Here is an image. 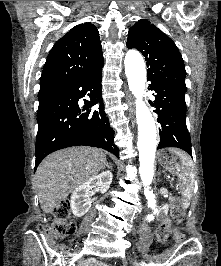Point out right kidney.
<instances>
[{"label": "right kidney", "mask_w": 221, "mask_h": 266, "mask_svg": "<svg viewBox=\"0 0 221 266\" xmlns=\"http://www.w3.org/2000/svg\"><path fill=\"white\" fill-rule=\"evenodd\" d=\"M112 179V173L110 171H104L76 187L70 200L73 214L76 217H81L87 213L91 207L90 190L97 187L101 192H106L109 189Z\"/></svg>", "instance_id": "ca27d5eb"}]
</instances>
